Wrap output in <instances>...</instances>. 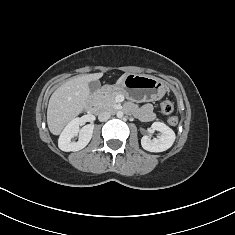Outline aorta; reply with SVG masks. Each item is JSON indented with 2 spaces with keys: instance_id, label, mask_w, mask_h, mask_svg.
<instances>
[{
  "instance_id": "762f6f07",
  "label": "aorta",
  "mask_w": 235,
  "mask_h": 235,
  "mask_svg": "<svg viewBox=\"0 0 235 235\" xmlns=\"http://www.w3.org/2000/svg\"><path fill=\"white\" fill-rule=\"evenodd\" d=\"M117 117L118 118H122L123 117V112L122 111H118L117 112Z\"/></svg>"
}]
</instances>
